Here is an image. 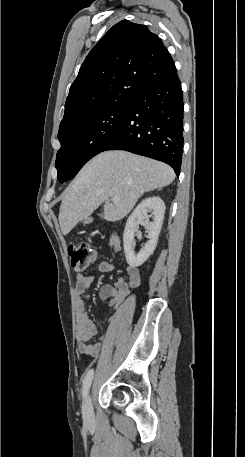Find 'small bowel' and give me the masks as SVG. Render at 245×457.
Listing matches in <instances>:
<instances>
[{
	"label": "small bowel",
	"mask_w": 245,
	"mask_h": 457,
	"mask_svg": "<svg viewBox=\"0 0 245 457\" xmlns=\"http://www.w3.org/2000/svg\"><path fill=\"white\" fill-rule=\"evenodd\" d=\"M115 251H120V244L110 243ZM114 269V264L102 262L97 266L99 272H109ZM129 279L118 278L115 283L104 284L99 296L103 300H108L113 310H116L128 296L130 289L136 288L141 284V275L135 266L128 265L126 268ZM76 341L78 351L89 356H97L103 349H114L121 347L124 343L127 330L124 327L111 325L95 343H89L94 335L99 331V326L89 316L86 303L88 299L87 291L92 283L93 277L83 273L76 274Z\"/></svg>",
	"instance_id": "1"
}]
</instances>
